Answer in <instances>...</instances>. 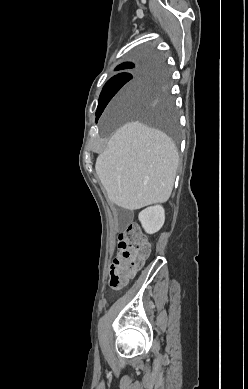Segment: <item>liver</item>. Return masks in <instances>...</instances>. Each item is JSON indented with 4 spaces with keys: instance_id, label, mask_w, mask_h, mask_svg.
<instances>
[{
    "instance_id": "liver-1",
    "label": "liver",
    "mask_w": 248,
    "mask_h": 389,
    "mask_svg": "<svg viewBox=\"0 0 248 389\" xmlns=\"http://www.w3.org/2000/svg\"><path fill=\"white\" fill-rule=\"evenodd\" d=\"M134 92L123 89L116 102L128 106ZM179 154L163 132L136 121L121 126L95 164L108 198L119 207L136 210L166 202L173 190Z\"/></svg>"
}]
</instances>
